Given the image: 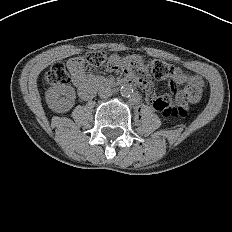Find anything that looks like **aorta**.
I'll return each instance as SVG.
<instances>
[{"mask_svg":"<svg viewBox=\"0 0 232 232\" xmlns=\"http://www.w3.org/2000/svg\"><path fill=\"white\" fill-rule=\"evenodd\" d=\"M134 92V89L131 85L125 84L120 88V94L123 97H130Z\"/></svg>","mask_w":232,"mask_h":232,"instance_id":"762f6f07","label":"aorta"}]
</instances>
